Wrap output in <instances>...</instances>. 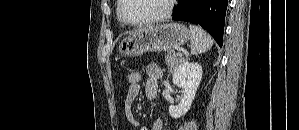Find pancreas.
<instances>
[{"instance_id":"pancreas-1","label":"pancreas","mask_w":299,"mask_h":130,"mask_svg":"<svg viewBox=\"0 0 299 130\" xmlns=\"http://www.w3.org/2000/svg\"><path fill=\"white\" fill-rule=\"evenodd\" d=\"M166 64L168 66V71L173 73V71L179 66L182 62V58L177 56V54L173 51L167 52L165 55Z\"/></svg>"}]
</instances>
